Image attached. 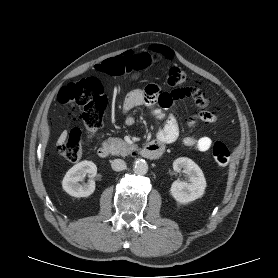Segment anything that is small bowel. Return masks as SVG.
Returning <instances> with one entry per match:
<instances>
[{"label":"small bowel","instance_id":"obj_1","mask_svg":"<svg viewBox=\"0 0 278 278\" xmlns=\"http://www.w3.org/2000/svg\"><path fill=\"white\" fill-rule=\"evenodd\" d=\"M180 97L177 93H163L156 84H149L145 89H136L127 94L122 105V113L125 116V124L133 125L135 119L129 112L138 106L149 107L153 114L164 121L157 133V142L170 144L177 140L179 136V122L175 114L165 115L162 109L157 107H168L173 99ZM217 120V115L209 110H201L194 114L188 121L189 126H193L197 121L213 123ZM183 143L200 152H207L213 145V140L207 136L194 137L186 136Z\"/></svg>","mask_w":278,"mask_h":278}]
</instances>
